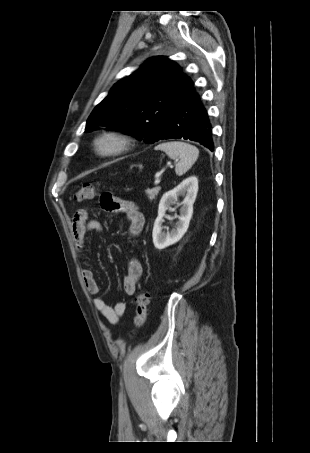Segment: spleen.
Here are the masks:
<instances>
[{
    "label": "spleen",
    "instance_id": "1",
    "mask_svg": "<svg viewBox=\"0 0 310 453\" xmlns=\"http://www.w3.org/2000/svg\"><path fill=\"white\" fill-rule=\"evenodd\" d=\"M155 150L165 152L171 159L179 158V162L175 167V172L178 176L185 174L199 156V150L196 146L180 141L161 143L155 147Z\"/></svg>",
    "mask_w": 310,
    "mask_h": 453
}]
</instances>
